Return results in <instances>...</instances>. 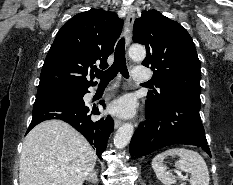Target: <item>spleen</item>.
Returning a JSON list of instances; mask_svg holds the SVG:
<instances>
[{
	"label": "spleen",
	"instance_id": "3e777b00",
	"mask_svg": "<svg viewBox=\"0 0 233 185\" xmlns=\"http://www.w3.org/2000/svg\"><path fill=\"white\" fill-rule=\"evenodd\" d=\"M167 156L179 157L176 166L180 170L191 174V185H209L210 177L205 160L198 152L186 148H171L153 158L152 168L157 178L163 184L171 185L176 182V178L166 171V167L163 164Z\"/></svg>",
	"mask_w": 233,
	"mask_h": 185
}]
</instances>
